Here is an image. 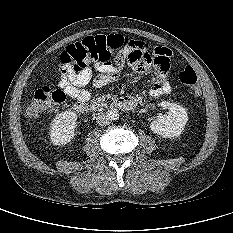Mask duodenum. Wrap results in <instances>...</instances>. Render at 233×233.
Listing matches in <instances>:
<instances>
[{
	"instance_id": "1",
	"label": "duodenum",
	"mask_w": 233,
	"mask_h": 233,
	"mask_svg": "<svg viewBox=\"0 0 233 233\" xmlns=\"http://www.w3.org/2000/svg\"><path fill=\"white\" fill-rule=\"evenodd\" d=\"M139 103V97L135 95L123 96L112 101L111 106L122 110H131ZM104 108L103 103H86L77 102L74 104L73 109L79 114H87L89 112L98 111Z\"/></svg>"
}]
</instances>
